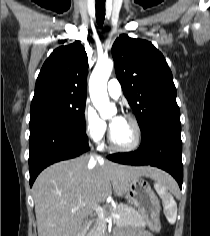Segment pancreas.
I'll return each mask as SVG.
<instances>
[{
	"instance_id": "1",
	"label": "pancreas",
	"mask_w": 210,
	"mask_h": 236,
	"mask_svg": "<svg viewBox=\"0 0 210 236\" xmlns=\"http://www.w3.org/2000/svg\"><path fill=\"white\" fill-rule=\"evenodd\" d=\"M111 211L120 215V219L116 220L117 226L133 225L137 227H145L146 222L142 215L133 207L127 204H119L117 208H111ZM106 228V219L98 217L92 229L88 232V236H100Z\"/></svg>"
}]
</instances>
